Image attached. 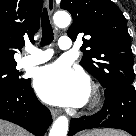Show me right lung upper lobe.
Instances as JSON below:
<instances>
[{"mask_svg":"<svg viewBox=\"0 0 136 136\" xmlns=\"http://www.w3.org/2000/svg\"><path fill=\"white\" fill-rule=\"evenodd\" d=\"M43 0H0V63H15V49L33 41Z\"/></svg>","mask_w":136,"mask_h":136,"instance_id":"right-lung-upper-lobe-1","label":"right lung upper lobe"}]
</instances>
